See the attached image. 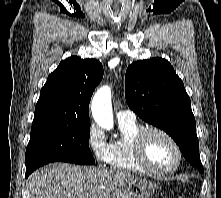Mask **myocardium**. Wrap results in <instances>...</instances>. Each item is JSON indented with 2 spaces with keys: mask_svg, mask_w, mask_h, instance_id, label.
Instances as JSON below:
<instances>
[{
  "mask_svg": "<svg viewBox=\"0 0 221 198\" xmlns=\"http://www.w3.org/2000/svg\"><path fill=\"white\" fill-rule=\"evenodd\" d=\"M152 133H158L164 136L173 145L176 151L177 160L175 165L172 166L171 168L167 169L156 168L153 165H151L147 160L146 150H145L146 139ZM134 152L136 160L139 163V165L143 167L147 172L155 175H168L175 172L180 167L183 159L181 147L176 141V139L168 131L156 126L144 127L137 133L134 140Z\"/></svg>",
  "mask_w": 221,
  "mask_h": 198,
  "instance_id": "1",
  "label": "myocardium"
}]
</instances>
